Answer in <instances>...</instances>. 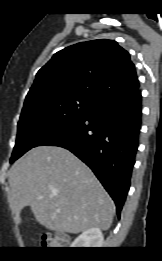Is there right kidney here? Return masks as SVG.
I'll return each instance as SVG.
<instances>
[{
	"label": "right kidney",
	"instance_id": "1",
	"mask_svg": "<svg viewBox=\"0 0 162 261\" xmlns=\"http://www.w3.org/2000/svg\"><path fill=\"white\" fill-rule=\"evenodd\" d=\"M103 241L101 230L99 228H90L72 242L71 248H100Z\"/></svg>",
	"mask_w": 162,
	"mask_h": 261
}]
</instances>
